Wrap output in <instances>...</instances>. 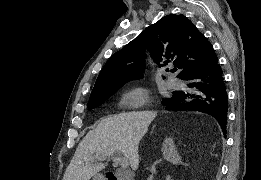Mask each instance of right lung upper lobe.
<instances>
[{
  "label": "right lung upper lobe",
  "mask_w": 261,
  "mask_h": 180,
  "mask_svg": "<svg viewBox=\"0 0 261 180\" xmlns=\"http://www.w3.org/2000/svg\"><path fill=\"white\" fill-rule=\"evenodd\" d=\"M145 47L160 67L173 63L181 69L179 79L218 60L212 44L191 21L183 15H167L111 56L96 80L90 99L116 92L126 82L142 78Z\"/></svg>",
  "instance_id": "obj_1"
}]
</instances>
